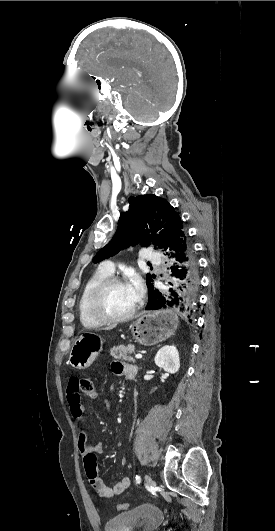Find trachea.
<instances>
[{
  "label": "trachea",
  "instance_id": "trachea-1",
  "mask_svg": "<svg viewBox=\"0 0 275 531\" xmlns=\"http://www.w3.org/2000/svg\"><path fill=\"white\" fill-rule=\"evenodd\" d=\"M147 264H148V266H152L151 263H147Z\"/></svg>",
  "mask_w": 275,
  "mask_h": 531
}]
</instances>
